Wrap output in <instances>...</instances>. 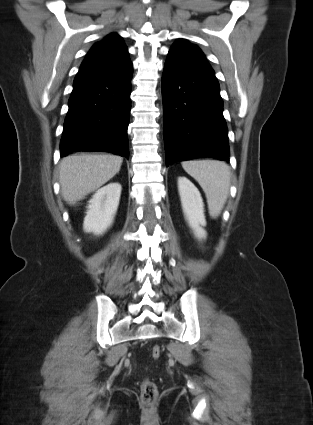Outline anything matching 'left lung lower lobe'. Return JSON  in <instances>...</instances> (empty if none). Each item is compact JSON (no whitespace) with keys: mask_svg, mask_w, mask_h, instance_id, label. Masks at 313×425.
Instances as JSON below:
<instances>
[{"mask_svg":"<svg viewBox=\"0 0 313 425\" xmlns=\"http://www.w3.org/2000/svg\"><path fill=\"white\" fill-rule=\"evenodd\" d=\"M162 97L166 166L197 157L229 162L228 130L214 72L168 57Z\"/></svg>","mask_w":313,"mask_h":425,"instance_id":"obj_1","label":"left lung lower lobe"}]
</instances>
